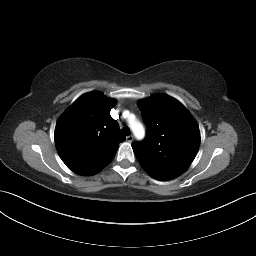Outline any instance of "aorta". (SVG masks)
<instances>
[{
  "mask_svg": "<svg viewBox=\"0 0 256 256\" xmlns=\"http://www.w3.org/2000/svg\"><path fill=\"white\" fill-rule=\"evenodd\" d=\"M130 127L137 139H142L144 137L145 131L143 125L135 120V119H129Z\"/></svg>",
  "mask_w": 256,
  "mask_h": 256,
  "instance_id": "762f6f07",
  "label": "aorta"
}]
</instances>
